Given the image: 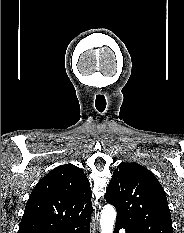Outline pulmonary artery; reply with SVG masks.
Masks as SVG:
<instances>
[{"mask_svg":"<svg viewBox=\"0 0 184 233\" xmlns=\"http://www.w3.org/2000/svg\"><path fill=\"white\" fill-rule=\"evenodd\" d=\"M120 233H125V231H124V230H121Z\"/></svg>","mask_w":184,"mask_h":233,"instance_id":"pulmonary-artery-1","label":"pulmonary artery"}]
</instances>
